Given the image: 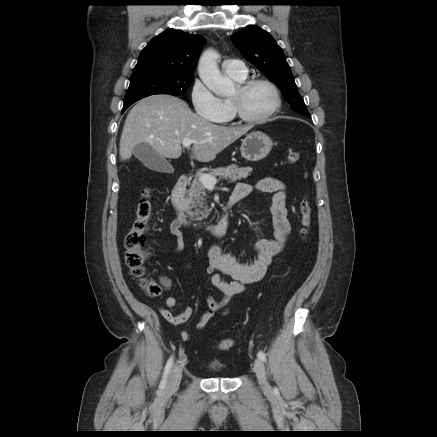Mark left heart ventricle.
<instances>
[{"label": "left heart ventricle", "mask_w": 437, "mask_h": 437, "mask_svg": "<svg viewBox=\"0 0 437 437\" xmlns=\"http://www.w3.org/2000/svg\"><path fill=\"white\" fill-rule=\"evenodd\" d=\"M231 98L238 99L243 111L251 117L266 114L274 104V95L264 84L255 85L244 93L237 87Z\"/></svg>", "instance_id": "left-heart-ventricle-1"}]
</instances>
